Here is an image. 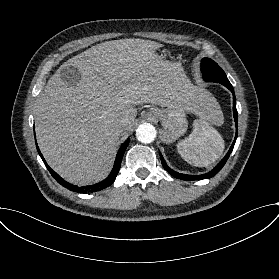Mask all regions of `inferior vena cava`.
Listing matches in <instances>:
<instances>
[{
    "instance_id": "obj_1",
    "label": "inferior vena cava",
    "mask_w": 279,
    "mask_h": 279,
    "mask_svg": "<svg viewBox=\"0 0 279 279\" xmlns=\"http://www.w3.org/2000/svg\"><path fill=\"white\" fill-rule=\"evenodd\" d=\"M129 121L127 119L123 120L120 125L116 127V134H120L122 129L128 126Z\"/></svg>"
}]
</instances>
